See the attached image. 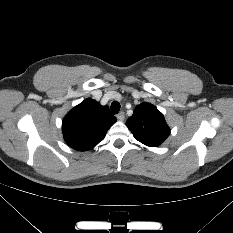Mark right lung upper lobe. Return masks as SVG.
Instances as JSON below:
<instances>
[{
	"instance_id": "right-lung-upper-lobe-1",
	"label": "right lung upper lobe",
	"mask_w": 233,
	"mask_h": 233,
	"mask_svg": "<svg viewBox=\"0 0 233 233\" xmlns=\"http://www.w3.org/2000/svg\"><path fill=\"white\" fill-rule=\"evenodd\" d=\"M116 122L107 106L88 98L75 106L64 117L62 132L66 143L75 150L92 149Z\"/></svg>"
}]
</instances>
